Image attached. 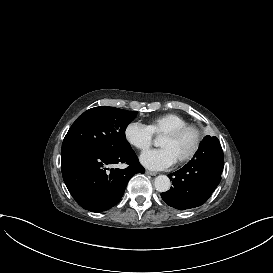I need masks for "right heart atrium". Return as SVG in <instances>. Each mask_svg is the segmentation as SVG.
I'll return each mask as SVG.
<instances>
[{"instance_id":"1","label":"right heart atrium","mask_w":273,"mask_h":273,"mask_svg":"<svg viewBox=\"0 0 273 273\" xmlns=\"http://www.w3.org/2000/svg\"><path fill=\"white\" fill-rule=\"evenodd\" d=\"M124 134L126 140L139 150H145L153 143V135L148 128L141 123H129L125 128Z\"/></svg>"}]
</instances>
